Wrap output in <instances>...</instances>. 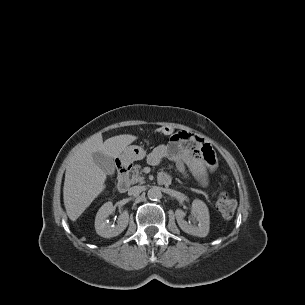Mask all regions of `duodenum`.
<instances>
[{
    "label": "duodenum",
    "mask_w": 305,
    "mask_h": 305,
    "mask_svg": "<svg viewBox=\"0 0 305 305\" xmlns=\"http://www.w3.org/2000/svg\"><path fill=\"white\" fill-rule=\"evenodd\" d=\"M117 170H118L117 188L120 192L124 193L129 189L130 186V181H129L130 166L127 163L118 162ZM159 183L161 185H169L171 183V180L168 176L161 175L159 176Z\"/></svg>",
    "instance_id": "410a0bca"
}]
</instances>
